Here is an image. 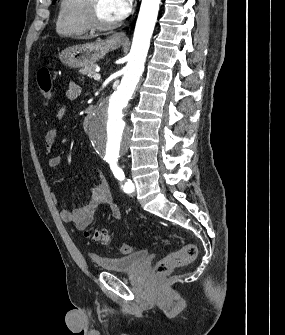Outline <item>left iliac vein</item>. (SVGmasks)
I'll use <instances>...</instances> for the list:
<instances>
[{
  "mask_svg": "<svg viewBox=\"0 0 285 335\" xmlns=\"http://www.w3.org/2000/svg\"><path fill=\"white\" fill-rule=\"evenodd\" d=\"M135 188H136V185H135ZM133 194H136V191H134V193Z\"/></svg>",
  "mask_w": 285,
  "mask_h": 335,
  "instance_id": "1",
  "label": "left iliac vein"
}]
</instances>
